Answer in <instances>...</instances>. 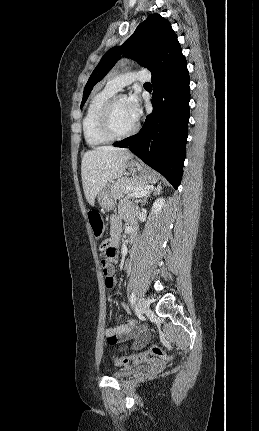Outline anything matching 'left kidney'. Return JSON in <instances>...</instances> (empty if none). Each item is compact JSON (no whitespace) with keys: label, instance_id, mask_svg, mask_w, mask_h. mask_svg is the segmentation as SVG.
I'll return each mask as SVG.
<instances>
[{"label":"left kidney","instance_id":"5707ae66","mask_svg":"<svg viewBox=\"0 0 259 431\" xmlns=\"http://www.w3.org/2000/svg\"><path fill=\"white\" fill-rule=\"evenodd\" d=\"M165 200L164 198H158L155 200L152 206V211L157 215L161 212L162 207L164 206Z\"/></svg>","mask_w":259,"mask_h":431}]
</instances>
